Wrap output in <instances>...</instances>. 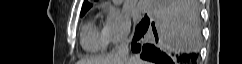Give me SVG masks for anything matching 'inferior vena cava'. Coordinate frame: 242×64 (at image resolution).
I'll return each instance as SVG.
<instances>
[{
    "label": "inferior vena cava",
    "mask_w": 242,
    "mask_h": 64,
    "mask_svg": "<svg viewBox=\"0 0 242 64\" xmlns=\"http://www.w3.org/2000/svg\"><path fill=\"white\" fill-rule=\"evenodd\" d=\"M129 54V41H123L118 48V56L121 60L126 61Z\"/></svg>",
    "instance_id": "obj_1"
}]
</instances>
